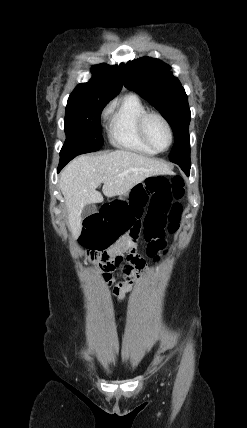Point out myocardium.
Returning <instances> with one entry per match:
<instances>
[{"instance_id":"obj_1","label":"myocardium","mask_w":247,"mask_h":428,"mask_svg":"<svg viewBox=\"0 0 247 428\" xmlns=\"http://www.w3.org/2000/svg\"><path fill=\"white\" fill-rule=\"evenodd\" d=\"M158 118L159 120H161L163 122V124L165 125L168 134H169V143L167 145L166 148L164 149H158L157 147H155V145L151 142L149 136H148V132H147V124L148 121L151 118ZM139 133L143 139V141L150 147L152 148L154 151H156L157 153H162L167 151L173 144V140H174V134H173V129L169 123V121L166 119L165 116H163L161 113L159 112H155V111H147L146 113H144L141 118L139 119Z\"/></svg>"}]
</instances>
